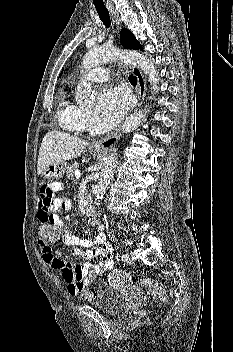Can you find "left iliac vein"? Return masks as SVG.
Listing matches in <instances>:
<instances>
[{
    "label": "left iliac vein",
    "mask_w": 233,
    "mask_h": 352,
    "mask_svg": "<svg viewBox=\"0 0 233 352\" xmlns=\"http://www.w3.org/2000/svg\"><path fill=\"white\" fill-rule=\"evenodd\" d=\"M126 255H127V260H126V261H127L129 264H132V263L134 262L132 253H131V252H127Z\"/></svg>",
    "instance_id": "4c4485c4"
}]
</instances>
